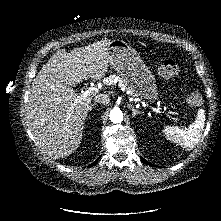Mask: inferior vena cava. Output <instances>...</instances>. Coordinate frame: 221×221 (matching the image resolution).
Wrapping results in <instances>:
<instances>
[{
	"instance_id": "1",
	"label": "inferior vena cava",
	"mask_w": 221,
	"mask_h": 221,
	"mask_svg": "<svg viewBox=\"0 0 221 221\" xmlns=\"http://www.w3.org/2000/svg\"><path fill=\"white\" fill-rule=\"evenodd\" d=\"M94 100H95L97 103L107 105V104L109 103V101H110V98L108 97V95L99 94V95H96V96L94 97Z\"/></svg>"
}]
</instances>
